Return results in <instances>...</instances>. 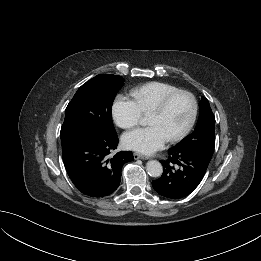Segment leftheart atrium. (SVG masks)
Instances as JSON below:
<instances>
[{
    "instance_id": "39dd6f15",
    "label": "left heart atrium",
    "mask_w": 261,
    "mask_h": 261,
    "mask_svg": "<svg viewBox=\"0 0 261 261\" xmlns=\"http://www.w3.org/2000/svg\"><path fill=\"white\" fill-rule=\"evenodd\" d=\"M168 136L157 125L137 128L124 134L123 145L142 154H151L161 149L168 141Z\"/></svg>"
}]
</instances>
